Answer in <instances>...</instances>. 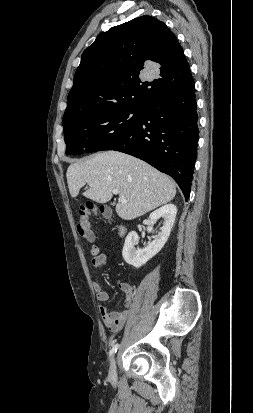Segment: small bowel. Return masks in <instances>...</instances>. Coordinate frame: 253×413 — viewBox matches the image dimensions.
Here are the masks:
<instances>
[{
	"label": "small bowel",
	"instance_id": "c3829d8e",
	"mask_svg": "<svg viewBox=\"0 0 253 413\" xmlns=\"http://www.w3.org/2000/svg\"><path fill=\"white\" fill-rule=\"evenodd\" d=\"M90 253L92 255L91 266L94 269H100L106 265L107 256L103 253H100L97 246H93L90 250ZM118 286L126 295L122 310L114 312L108 310L104 305H100L99 307L100 315L104 325L113 332H118L123 328L133 308L137 294L135 286H133L129 282L121 281L119 282ZM94 289L96 291L97 300L100 303H105L109 300L108 293L102 289L99 283H94Z\"/></svg>",
	"mask_w": 253,
	"mask_h": 413
}]
</instances>
